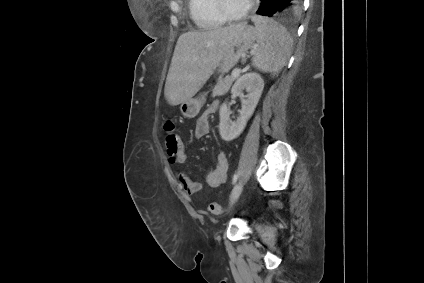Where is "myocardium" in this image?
<instances>
[{"mask_svg": "<svg viewBox=\"0 0 424 283\" xmlns=\"http://www.w3.org/2000/svg\"><path fill=\"white\" fill-rule=\"evenodd\" d=\"M216 6L220 15L226 20L231 22H239L245 20L256 6V0H250L246 9L241 13H232L229 11L225 4V0H216Z\"/></svg>", "mask_w": 424, "mask_h": 283, "instance_id": "obj_1", "label": "myocardium"}]
</instances>
